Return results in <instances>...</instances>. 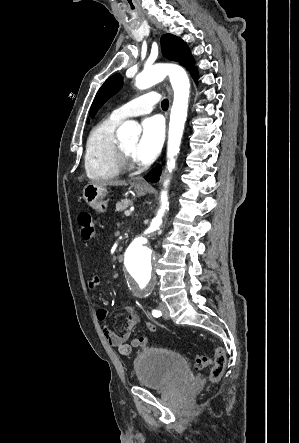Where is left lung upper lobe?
<instances>
[{"label": "left lung upper lobe", "mask_w": 299, "mask_h": 443, "mask_svg": "<svg viewBox=\"0 0 299 443\" xmlns=\"http://www.w3.org/2000/svg\"><path fill=\"white\" fill-rule=\"evenodd\" d=\"M161 48L164 56L179 62L193 74L196 71L194 60L184 41L172 35L165 34L161 37ZM122 87V76L115 74L109 77L97 92L91 106L90 114L95 115L98 109Z\"/></svg>", "instance_id": "5c2ea615"}]
</instances>
